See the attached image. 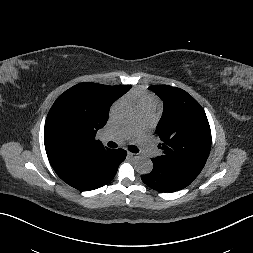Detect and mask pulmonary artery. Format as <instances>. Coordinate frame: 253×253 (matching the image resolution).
<instances>
[{
    "instance_id": "1",
    "label": "pulmonary artery",
    "mask_w": 253,
    "mask_h": 253,
    "mask_svg": "<svg viewBox=\"0 0 253 253\" xmlns=\"http://www.w3.org/2000/svg\"><path fill=\"white\" fill-rule=\"evenodd\" d=\"M154 115V110L150 108L139 109L136 116V124L140 128V145L143 152L147 156H154L157 153L156 148L149 143L145 135V130L147 129L152 117ZM128 137L127 131H119L115 134L106 133L102 136L103 141H122Z\"/></svg>"
}]
</instances>
